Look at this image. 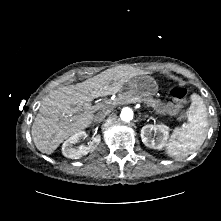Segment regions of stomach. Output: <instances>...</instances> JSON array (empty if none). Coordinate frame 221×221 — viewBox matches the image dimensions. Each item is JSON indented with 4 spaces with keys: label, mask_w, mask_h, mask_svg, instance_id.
<instances>
[{
    "label": "stomach",
    "mask_w": 221,
    "mask_h": 221,
    "mask_svg": "<svg viewBox=\"0 0 221 221\" xmlns=\"http://www.w3.org/2000/svg\"><path fill=\"white\" fill-rule=\"evenodd\" d=\"M151 83L145 76L136 77L126 83L125 89L137 95L148 96L155 92Z\"/></svg>",
    "instance_id": "obj_1"
}]
</instances>
